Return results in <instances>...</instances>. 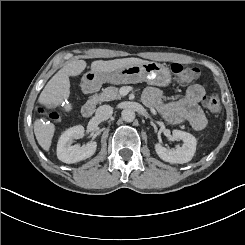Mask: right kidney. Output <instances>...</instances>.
Returning a JSON list of instances; mask_svg holds the SVG:
<instances>
[{
	"label": "right kidney",
	"instance_id": "1",
	"mask_svg": "<svg viewBox=\"0 0 245 245\" xmlns=\"http://www.w3.org/2000/svg\"><path fill=\"white\" fill-rule=\"evenodd\" d=\"M84 127L81 125L73 126L64 131L58 139L57 157L64 163H75L92 156L96 150L94 142L86 143L82 146L71 145L74 138L82 137Z\"/></svg>",
	"mask_w": 245,
	"mask_h": 245
}]
</instances>
